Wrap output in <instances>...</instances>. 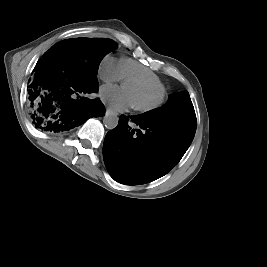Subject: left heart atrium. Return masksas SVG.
<instances>
[{"label":"left heart atrium","mask_w":267,"mask_h":267,"mask_svg":"<svg viewBox=\"0 0 267 267\" xmlns=\"http://www.w3.org/2000/svg\"><path fill=\"white\" fill-rule=\"evenodd\" d=\"M100 96L114 111H124L134 104L132 96L126 88L106 85L101 88Z\"/></svg>","instance_id":"1"}]
</instances>
